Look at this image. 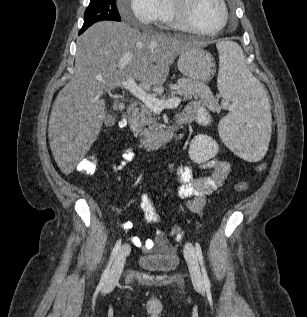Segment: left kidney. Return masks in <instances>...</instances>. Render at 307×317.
<instances>
[{
	"label": "left kidney",
	"instance_id": "left-kidney-1",
	"mask_svg": "<svg viewBox=\"0 0 307 317\" xmlns=\"http://www.w3.org/2000/svg\"><path fill=\"white\" fill-rule=\"evenodd\" d=\"M218 149V144L213 138L199 134L190 143L189 157L193 162L201 164L216 156Z\"/></svg>",
	"mask_w": 307,
	"mask_h": 317
}]
</instances>
